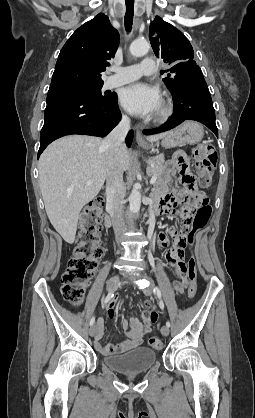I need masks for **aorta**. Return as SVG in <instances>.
<instances>
[{
    "instance_id": "1",
    "label": "aorta",
    "mask_w": 255,
    "mask_h": 418,
    "mask_svg": "<svg viewBox=\"0 0 255 418\" xmlns=\"http://www.w3.org/2000/svg\"><path fill=\"white\" fill-rule=\"evenodd\" d=\"M150 45L146 40H136L130 45V53L133 56L140 57L149 51ZM129 208L132 213H137L141 206V192L138 184L133 186L129 197Z\"/></svg>"
}]
</instances>
